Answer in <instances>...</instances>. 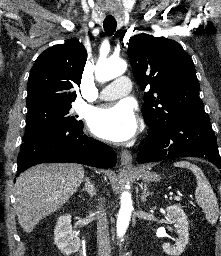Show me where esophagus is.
Listing matches in <instances>:
<instances>
[{
	"mask_svg": "<svg viewBox=\"0 0 221 256\" xmlns=\"http://www.w3.org/2000/svg\"><path fill=\"white\" fill-rule=\"evenodd\" d=\"M121 164L127 168H131L133 166L132 155L128 150H123L120 155Z\"/></svg>",
	"mask_w": 221,
	"mask_h": 256,
	"instance_id": "obj_1",
	"label": "esophagus"
}]
</instances>
